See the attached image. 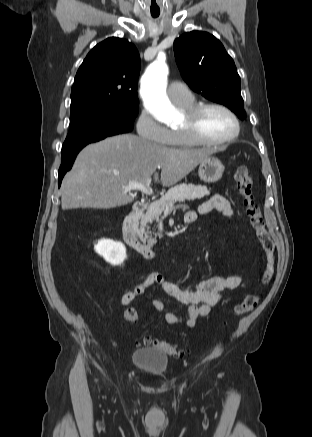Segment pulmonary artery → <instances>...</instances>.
<instances>
[{
    "label": "pulmonary artery",
    "mask_w": 312,
    "mask_h": 437,
    "mask_svg": "<svg viewBox=\"0 0 312 437\" xmlns=\"http://www.w3.org/2000/svg\"><path fill=\"white\" fill-rule=\"evenodd\" d=\"M167 95L175 104H184L193 98L188 87L180 82H171L167 89Z\"/></svg>",
    "instance_id": "pulmonary-artery-1"
}]
</instances>
